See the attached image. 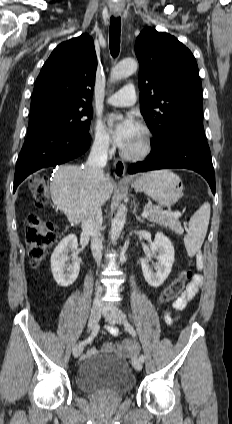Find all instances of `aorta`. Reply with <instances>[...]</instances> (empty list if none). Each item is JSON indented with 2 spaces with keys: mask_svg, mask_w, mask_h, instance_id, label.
<instances>
[{
  "mask_svg": "<svg viewBox=\"0 0 232 424\" xmlns=\"http://www.w3.org/2000/svg\"><path fill=\"white\" fill-rule=\"evenodd\" d=\"M137 68L138 63L135 59H124L112 68L110 73V81L116 82L118 80L124 79L135 73ZM118 119H122V116L119 115ZM126 216L127 208L125 205L121 204L118 207L117 213L112 220L110 238L113 244L116 243L123 230L124 224L126 223Z\"/></svg>",
  "mask_w": 232,
  "mask_h": 424,
  "instance_id": "aorta-1",
  "label": "aorta"
}]
</instances>
